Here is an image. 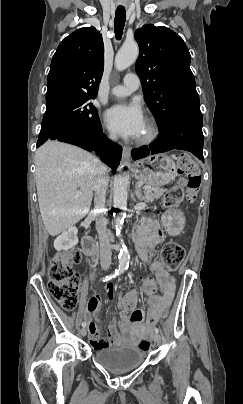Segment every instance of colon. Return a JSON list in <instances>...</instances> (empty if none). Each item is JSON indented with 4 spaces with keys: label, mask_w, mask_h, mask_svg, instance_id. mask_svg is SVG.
I'll return each mask as SVG.
<instances>
[{
    "label": "colon",
    "mask_w": 243,
    "mask_h": 404,
    "mask_svg": "<svg viewBox=\"0 0 243 404\" xmlns=\"http://www.w3.org/2000/svg\"><path fill=\"white\" fill-rule=\"evenodd\" d=\"M178 172L185 179L170 188L164 195V205L173 209L180 205L185 195L192 200L195 198L201 182V176L194 159L188 154H182L178 159ZM162 261L173 268L178 267L185 258L184 248L177 243H167L161 252ZM81 261V253L77 250L60 252L52 259L48 268V290L56 301L66 310H72L77 304L79 275L74 267ZM155 290L154 281L145 279L142 292L151 294ZM139 292L136 290L125 294L119 301V308L124 317H129L135 310ZM167 314L163 316L165 318ZM143 350L150 348V341L143 338L139 342Z\"/></svg>",
    "instance_id": "obj_1"
}]
</instances>
